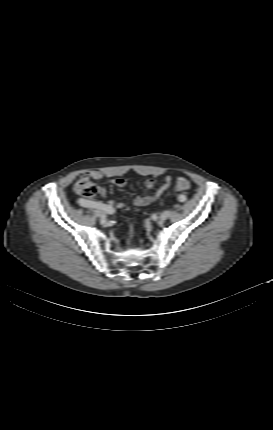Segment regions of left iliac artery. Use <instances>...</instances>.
Segmentation results:
<instances>
[{
  "instance_id": "44dca946",
  "label": "left iliac artery",
  "mask_w": 273,
  "mask_h": 430,
  "mask_svg": "<svg viewBox=\"0 0 273 430\" xmlns=\"http://www.w3.org/2000/svg\"><path fill=\"white\" fill-rule=\"evenodd\" d=\"M187 201V196L184 194L179 195V203L184 204Z\"/></svg>"
}]
</instances>
